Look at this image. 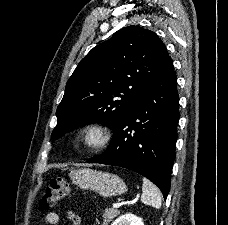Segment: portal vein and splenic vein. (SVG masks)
I'll return each mask as SVG.
<instances>
[{"label":"portal vein and splenic vein","instance_id":"portal-vein-and-splenic-vein-1","mask_svg":"<svg viewBox=\"0 0 228 225\" xmlns=\"http://www.w3.org/2000/svg\"><path fill=\"white\" fill-rule=\"evenodd\" d=\"M140 196L136 195L135 199H125V202H114L113 209H118V207H133V205L139 204Z\"/></svg>","mask_w":228,"mask_h":225}]
</instances>
